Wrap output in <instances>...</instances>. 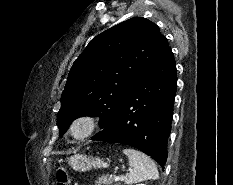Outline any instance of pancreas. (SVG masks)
Wrapping results in <instances>:
<instances>
[{"mask_svg": "<svg viewBox=\"0 0 233 185\" xmlns=\"http://www.w3.org/2000/svg\"><path fill=\"white\" fill-rule=\"evenodd\" d=\"M113 182H114L113 178H110L106 175H102L97 179L96 185H111Z\"/></svg>", "mask_w": 233, "mask_h": 185, "instance_id": "obj_1", "label": "pancreas"}]
</instances>
